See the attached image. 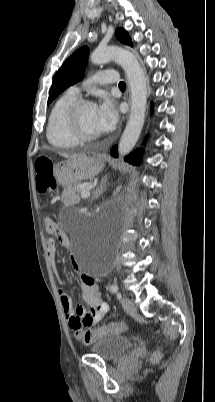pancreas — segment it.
<instances>
[{
    "label": "pancreas",
    "mask_w": 215,
    "mask_h": 402,
    "mask_svg": "<svg viewBox=\"0 0 215 402\" xmlns=\"http://www.w3.org/2000/svg\"><path fill=\"white\" fill-rule=\"evenodd\" d=\"M81 183L67 187L63 192V202L66 206H72L80 202Z\"/></svg>",
    "instance_id": "cf45deb5"
}]
</instances>
